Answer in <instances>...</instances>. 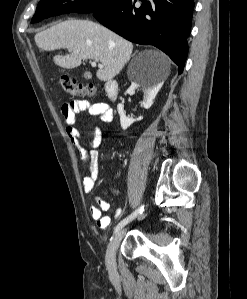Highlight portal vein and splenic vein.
Here are the masks:
<instances>
[{"label":"portal vein and splenic vein","mask_w":247,"mask_h":299,"mask_svg":"<svg viewBox=\"0 0 247 299\" xmlns=\"http://www.w3.org/2000/svg\"><path fill=\"white\" fill-rule=\"evenodd\" d=\"M91 65H92L93 67H96V66H97V62H96V61H93V62L91 63ZM98 67H99V68H102L103 66H102L101 64H98Z\"/></svg>","instance_id":"obj_1"}]
</instances>
